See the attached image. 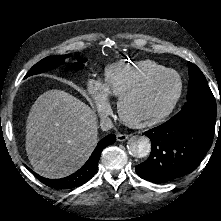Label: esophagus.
Wrapping results in <instances>:
<instances>
[{"label":"esophagus","instance_id":"34e87169","mask_svg":"<svg viewBox=\"0 0 221 221\" xmlns=\"http://www.w3.org/2000/svg\"><path fill=\"white\" fill-rule=\"evenodd\" d=\"M129 137H130V135H128V134H118L117 140L120 142H123V141L127 140Z\"/></svg>","mask_w":221,"mask_h":221}]
</instances>
